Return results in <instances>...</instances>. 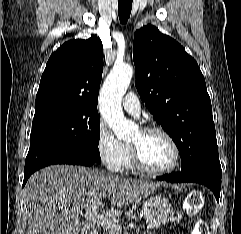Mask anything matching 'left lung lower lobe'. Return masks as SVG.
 <instances>
[{
  "mask_svg": "<svg viewBox=\"0 0 241 234\" xmlns=\"http://www.w3.org/2000/svg\"><path fill=\"white\" fill-rule=\"evenodd\" d=\"M158 180L167 182H196L210 188L219 202L222 170L200 167L179 173L166 174L157 177Z\"/></svg>",
  "mask_w": 241,
  "mask_h": 234,
  "instance_id": "left-lung-lower-lobe-1",
  "label": "left lung lower lobe"
}]
</instances>
